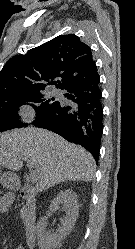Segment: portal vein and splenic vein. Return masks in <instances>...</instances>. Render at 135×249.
<instances>
[{
	"label": "portal vein and splenic vein",
	"mask_w": 135,
	"mask_h": 249,
	"mask_svg": "<svg viewBox=\"0 0 135 249\" xmlns=\"http://www.w3.org/2000/svg\"><path fill=\"white\" fill-rule=\"evenodd\" d=\"M26 162L27 165L29 166V171H30V181L33 182L36 179V171H37V166L34 162H32L31 160H29L28 158H23Z\"/></svg>",
	"instance_id": "portal-vein-and-splenic-vein-1"
}]
</instances>
